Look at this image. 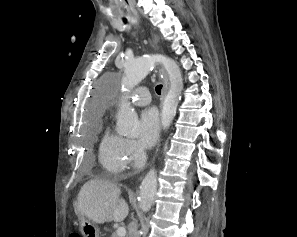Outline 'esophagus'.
Returning a JSON list of instances; mask_svg holds the SVG:
<instances>
[{
	"instance_id": "obj_1",
	"label": "esophagus",
	"mask_w": 297,
	"mask_h": 237,
	"mask_svg": "<svg viewBox=\"0 0 297 237\" xmlns=\"http://www.w3.org/2000/svg\"><path fill=\"white\" fill-rule=\"evenodd\" d=\"M162 73H163V89H162L161 101H163V99L165 98L168 90V78H167L166 72L162 70Z\"/></svg>"
}]
</instances>
